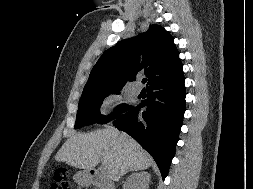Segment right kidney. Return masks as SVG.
Here are the masks:
<instances>
[{"mask_svg":"<svg viewBox=\"0 0 253 189\" xmlns=\"http://www.w3.org/2000/svg\"><path fill=\"white\" fill-rule=\"evenodd\" d=\"M150 174L140 172L132 174L126 182V189H149Z\"/></svg>","mask_w":253,"mask_h":189,"instance_id":"right-kidney-1","label":"right kidney"}]
</instances>
